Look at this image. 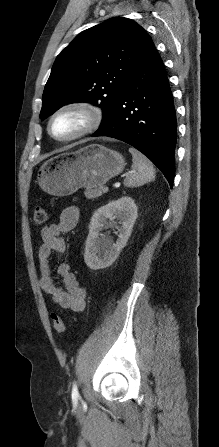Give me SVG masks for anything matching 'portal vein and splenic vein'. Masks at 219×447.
<instances>
[{
	"label": "portal vein and splenic vein",
	"mask_w": 219,
	"mask_h": 447,
	"mask_svg": "<svg viewBox=\"0 0 219 447\" xmlns=\"http://www.w3.org/2000/svg\"><path fill=\"white\" fill-rule=\"evenodd\" d=\"M102 191H103V192H107V191H108V187H107V186H103V187H102Z\"/></svg>",
	"instance_id": "18ae733b"
}]
</instances>
